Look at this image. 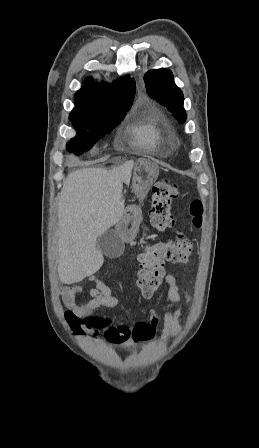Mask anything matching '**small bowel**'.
Returning a JSON list of instances; mask_svg holds the SVG:
<instances>
[{
	"label": "small bowel",
	"mask_w": 259,
	"mask_h": 448,
	"mask_svg": "<svg viewBox=\"0 0 259 448\" xmlns=\"http://www.w3.org/2000/svg\"><path fill=\"white\" fill-rule=\"evenodd\" d=\"M91 281L96 288L89 291V298L84 303L72 301L67 304L70 312L81 322V327L91 332L92 336H97L100 331L105 332L107 341L115 347L124 350H133L135 344L140 341L151 339L160 322V317L155 311H151L149 318L134 327L111 326L109 321L96 315V311L102 307L111 308L119 304V299L115 297L103 281L92 276ZM165 281L168 287V306L170 310L164 314L162 338L167 339L172 333L179 329V318L181 316V296L176 277L173 274H167ZM186 301H190L188 295Z\"/></svg>",
	"instance_id": "c3829d8e"
}]
</instances>
